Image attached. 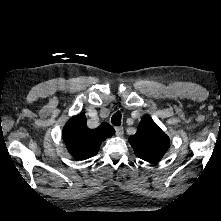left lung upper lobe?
I'll use <instances>...</instances> for the list:
<instances>
[{
  "instance_id": "left-lung-upper-lobe-1",
  "label": "left lung upper lobe",
  "mask_w": 221,
  "mask_h": 221,
  "mask_svg": "<svg viewBox=\"0 0 221 221\" xmlns=\"http://www.w3.org/2000/svg\"><path fill=\"white\" fill-rule=\"evenodd\" d=\"M129 142L137 157L155 163L159 161L169 148V137L149 118L140 121L135 135Z\"/></svg>"
}]
</instances>
